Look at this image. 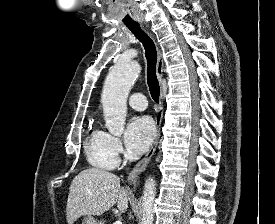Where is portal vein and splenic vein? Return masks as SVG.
<instances>
[{
	"label": "portal vein and splenic vein",
	"instance_id": "18ae733b",
	"mask_svg": "<svg viewBox=\"0 0 275 224\" xmlns=\"http://www.w3.org/2000/svg\"><path fill=\"white\" fill-rule=\"evenodd\" d=\"M114 224H122L121 221H116Z\"/></svg>",
	"mask_w": 275,
	"mask_h": 224
}]
</instances>
